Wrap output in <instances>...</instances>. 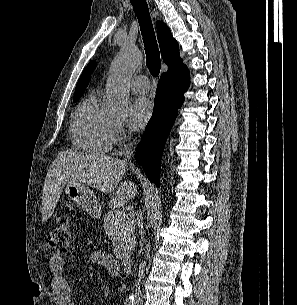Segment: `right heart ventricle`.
<instances>
[{
    "instance_id": "1",
    "label": "right heart ventricle",
    "mask_w": 297,
    "mask_h": 305,
    "mask_svg": "<svg viewBox=\"0 0 297 305\" xmlns=\"http://www.w3.org/2000/svg\"><path fill=\"white\" fill-rule=\"evenodd\" d=\"M71 136L74 146L93 154H107L114 141V122L102 109L97 93L88 96L72 116Z\"/></svg>"
}]
</instances>
